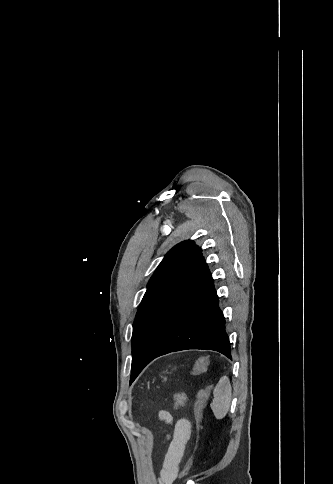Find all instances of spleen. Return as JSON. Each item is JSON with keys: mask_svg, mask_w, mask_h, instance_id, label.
Listing matches in <instances>:
<instances>
[{"mask_svg": "<svg viewBox=\"0 0 333 484\" xmlns=\"http://www.w3.org/2000/svg\"><path fill=\"white\" fill-rule=\"evenodd\" d=\"M214 399L210 404L214 417L218 420L223 419L230 408L232 397V387L227 376L220 378L213 391Z\"/></svg>", "mask_w": 333, "mask_h": 484, "instance_id": "1", "label": "spleen"}]
</instances>
